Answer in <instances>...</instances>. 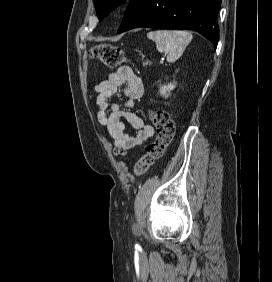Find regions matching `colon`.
<instances>
[{
    "instance_id": "obj_1",
    "label": "colon",
    "mask_w": 272,
    "mask_h": 282,
    "mask_svg": "<svg viewBox=\"0 0 272 282\" xmlns=\"http://www.w3.org/2000/svg\"><path fill=\"white\" fill-rule=\"evenodd\" d=\"M90 54L93 59L107 67H117L127 61L125 52L110 44L96 45L91 49ZM150 120L157 131V136L145 147L144 155L135 163L134 171L137 174L147 172L155 162L164 156L166 148L172 143L175 135L174 122L167 112H152Z\"/></svg>"
}]
</instances>
